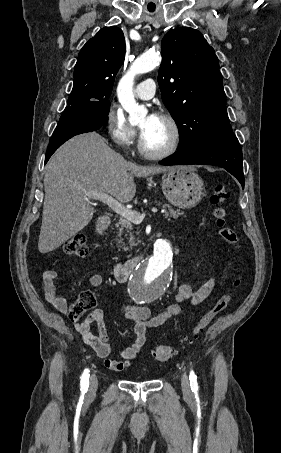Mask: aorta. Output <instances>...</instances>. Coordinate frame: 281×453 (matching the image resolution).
Segmentation results:
<instances>
[{"label": "aorta", "instance_id": "762f6f07", "mask_svg": "<svg viewBox=\"0 0 281 453\" xmlns=\"http://www.w3.org/2000/svg\"><path fill=\"white\" fill-rule=\"evenodd\" d=\"M161 56L157 53H145L135 60L129 71L120 80L117 95L122 107L129 113V122L136 124L147 114V109L136 103L133 94L134 77L147 73L157 67ZM173 252L167 240L159 239L154 244L153 255L143 260L132 273L129 280V293L140 304L151 303L159 299L172 280L170 264Z\"/></svg>", "mask_w": 281, "mask_h": 453}]
</instances>
